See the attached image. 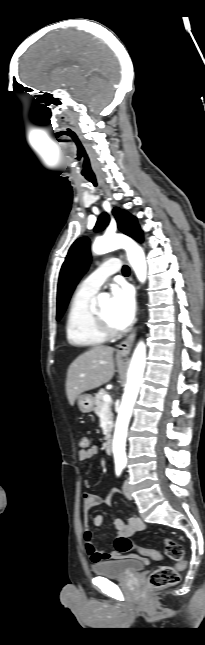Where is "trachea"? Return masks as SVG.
<instances>
[{
    "instance_id": "trachea-1",
    "label": "trachea",
    "mask_w": 205,
    "mask_h": 645,
    "mask_svg": "<svg viewBox=\"0 0 205 645\" xmlns=\"http://www.w3.org/2000/svg\"><path fill=\"white\" fill-rule=\"evenodd\" d=\"M122 272L124 275H128L130 273V269L127 265H124L122 268Z\"/></svg>"
}]
</instances>
